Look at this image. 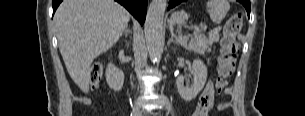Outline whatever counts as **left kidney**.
Instances as JSON below:
<instances>
[{
    "instance_id": "1",
    "label": "left kidney",
    "mask_w": 305,
    "mask_h": 116,
    "mask_svg": "<svg viewBox=\"0 0 305 116\" xmlns=\"http://www.w3.org/2000/svg\"><path fill=\"white\" fill-rule=\"evenodd\" d=\"M190 73L194 77L191 87L184 86L183 76H179L176 80L178 92L185 101L193 100L203 89L207 79V67L203 61L200 59H195L192 64V68L190 69Z\"/></svg>"
}]
</instances>
